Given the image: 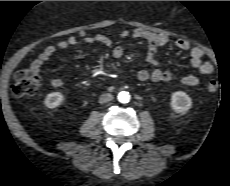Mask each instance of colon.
Masks as SVG:
<instances>
[{
  "label": "colon",
  "mask_w": 230,
  "mask_h": 186,
  "mask_svg": "<svg viewBox=\"0 0 230 186\" xmlns=\"http://www.w3.org/2000/svg\"><path fill=\"white\" fill-rule=\"evenodd\" d=\"M42 85V78L39 74L30 70H20L15 74L12 85V93L16 97H25L35 93ZM218 89V83L215 80H209L206 84L208 93H215Z\"/></svg>",
  "instance_id": "obj_1"
}]
</instances>
